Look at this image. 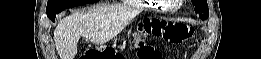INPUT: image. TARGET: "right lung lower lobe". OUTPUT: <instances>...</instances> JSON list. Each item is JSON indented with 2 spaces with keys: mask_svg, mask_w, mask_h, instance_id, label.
Instances as JSON below:
<instances>
[{
  "mask_svg": "<svg viewBox=\"0 0 261 59\" xmlns=\"http://www.w3.org/2000/svg\"><path fill=\"white\" fill-rule=\"evenodd\" d=\"M53 22H55V18L56 16H53V17H49Z\"/></svg>",
  "mask_w": 261,
  "mask_h": 59,
  "instance_id": "1",
  "label": "right lung lower lobe"
}]
</instances>
